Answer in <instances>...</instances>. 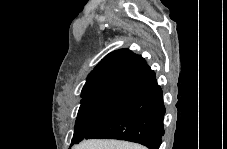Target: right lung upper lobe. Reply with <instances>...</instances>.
<instances>
[{
  "label": "right lung upper lobe",
  "instance_id": "1",
  "mask_svg": "<svg viewBox=\"0 0 227 149\" xmlns=\"http://www.w3.org/2000/svg\"><path fill=\"white\" fill-rule=\"evenodd\" d=\"M154 77V71L142 56L134 54L129 49H120L105 56L90 72L81 97L111 85L137 89Z\"/></svg>",
  "mask_w": 227,
  "mask_h": 149
}]
</instances>
